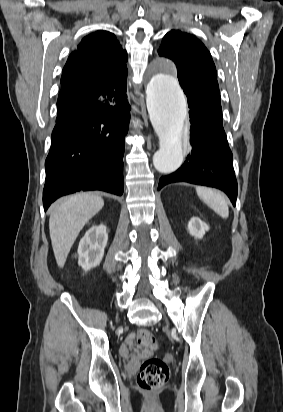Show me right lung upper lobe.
<instances>
[{
  "instance_id": "1",
  "label": "right lung upper lobe",
  "mask_w": 283,
  "mask_h": 412,
  "mask_svg": "<svg viewBox=\"0 0 283 412\" xmlns=\"http://www.w3.org/2000/svg\"><path fill=\"white\" fill-rule=\"evenodd\" d=\"M126 61L127 53L112 33L97 31L84 37L69 56L64 76L62 72L58 111L100 86L126 84Z\"/></svg>"
}]
</instances>
